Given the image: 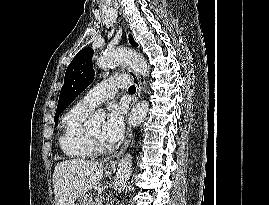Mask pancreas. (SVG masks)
<instances>
[{"label": "pancreas", "mask_w": 269, "mask_h": 205, "mask_svg": "<svg viewBox=\"0 0 269 205\" xmlns=\"http://www.w3.org/2000/svg\"><path fill=\"white\" fill-rule=\"evenodd\" d=\"M100 201L101 200L99 198H96L93 205H102Z\"/></svg>", "instance_id": "obj_1"}]
</instances>
